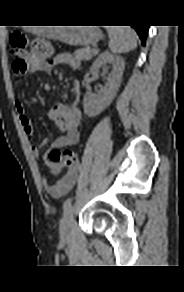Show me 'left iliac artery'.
Instances as JSON below:
<instances>
[{"mask_svg":"<svg viewBox=\"0 0 184 292\" xmlns=\"http://www.w3.org/2000/svg\"><path fill=\"white\" fill-rule=\"evenodd\" d=\"M71 204H72V199L68 198L64 203V209L65 210L69 209L71 207Z\"/></svg>","mask_w":184,"mask_h":292,"instance_id":"44dca946","label":"left iliac artery"}]
</instances>
